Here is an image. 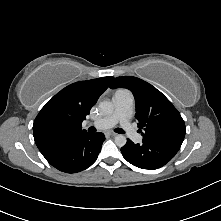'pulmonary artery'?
<instances>
[{"mask_svg": "<svg viewBox=\"0 0 221 221\" xmlns=\"http://www.w3.org/2000/svg\"><path fill=\"white\" fill-rule=\"evenodd\" d=\"M114 111L105 117L87 123L97 129H108L119 123L130 139L139 143L142 136L133 128L131 116L133 112V95L127 90H119L113 95Z\"/></svg>", "mask_w": 221, "mask_h": 221, "instance_id": "obj_1", "label": "pulmonary artery"}]
</instances>
